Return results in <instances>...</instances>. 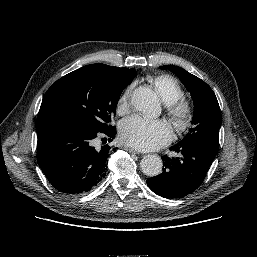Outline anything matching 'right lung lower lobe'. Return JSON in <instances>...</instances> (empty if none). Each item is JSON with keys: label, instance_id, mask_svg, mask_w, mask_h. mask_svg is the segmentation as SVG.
Returning <instances> with one entry per match:
<instances>
[{"label": "right lung lower lobe", "instance_id": "98d812e1", "mask_svg": "<svg viewBox=\"0 0 257 257\" xmlns=\"http://www.w3.org/2000/svg\"><path fill=\"white\" fill-rule=\"evenodd\" d=\"M116 127L94 131L73 123L44 126L39 132L37 160L49 182L59 191L80 194L96 186L106 175L111 147L93 145L98 136L112 141ZM104 143V142H103Z\"/></svg>", "mask_w": 257, "mask_h": 257}]
</instances>
